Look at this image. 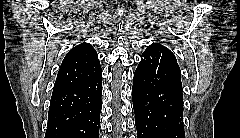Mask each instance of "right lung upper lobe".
<instances>
[{
  "label": "right lung upper lobe",
  "instance_id": "1",
  "mask_svg": "<svg viewBox=\"0 0 240 138\" xmlns=\"http://www.w3.org/2000/svg\"><path fill=\"white\" fill-rule=\"evenodd\" d=\"M101 73L98 55L92 45L89 43L79 44L65 56L53 93L88 83Z\"/></svg>",
  "mask_w": 240,
  "mask_h": 138
}]
</instances>
